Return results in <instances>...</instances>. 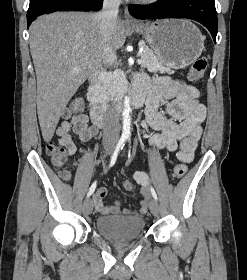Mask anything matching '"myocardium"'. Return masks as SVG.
<instances>
[{
  "instance_id": "f54148a6",
  "label": "myocardium",
  "mask_w": 247,
  "mask_h": 280,
  "mask_svg": "<svg viewBox=\"0 0 247 280\" xmlns=\"http://www.w3.org/2000/svg\"><path fill=\"white\" fill-rule=\"evenodd\" d=\"M138 1H141V2H154L156 0H138Z\"/></svg>"
}]
</instances>
